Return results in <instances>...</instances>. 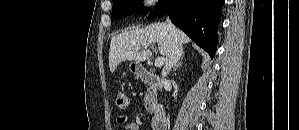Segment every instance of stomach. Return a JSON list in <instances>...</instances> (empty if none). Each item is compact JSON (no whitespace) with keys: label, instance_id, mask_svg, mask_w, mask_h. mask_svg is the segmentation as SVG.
Masks as SVG:
<instances>
[{"label":"stomach","instance_id":"obj_1","mask_svg":"<svg viewBox=\"0 0 299 130\" xmlns=\"http://www.w3.org/2000/svg\"><path fill=\"white\" fill-rule=\"evenodd\" d=\"M142 70V65L139 63V62H135V61H132L130 64H129V71L134 73V74H138L140 73Z\"/></svg>","mask_w":299,"mask_h":130}]
</instances>
